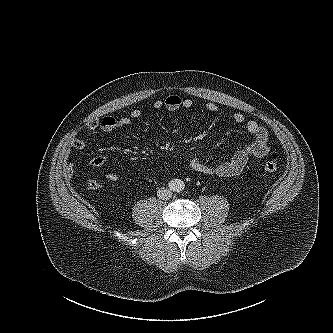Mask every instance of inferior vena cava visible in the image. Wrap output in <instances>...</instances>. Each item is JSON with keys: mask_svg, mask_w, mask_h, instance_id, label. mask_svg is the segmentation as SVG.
I'll return each instance as SVG.
<instances>
[{"mask_svg": "<svg viewBox=\"0 0 333 333\" xmlns=\"http://www.w3.org/2000/svg\"><path fill=\"white\" fill-rule=\"evenodd\" d=\"M157 196H158L159 199L168 200L172 197V192L169 189L160 188L157 191Z\"/></svg>", "mask_w": 333, "mask_h": 333, "instance_id": "602c4592", "label": "inferior vena cava"}]
</instances>
